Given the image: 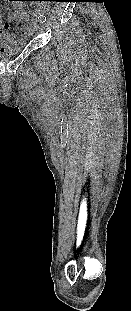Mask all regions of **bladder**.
<instances>
[{
  "instance_id": "31cf9c89",
  "label": "bladder",
  "mask_w": 131,
  "mask_h": 311,
  "mask_svg": "<svg viewBox=\"0 0 131 311\" xmlns=\"http://www.w3.org/2000/svg\"><path fill=\"white\" fill-rule=\"evenodd\" d=\"M27 45V41L18 36L10 39H0V60L9 59L18 54Z\"/></svg>"
}]
</instances>
